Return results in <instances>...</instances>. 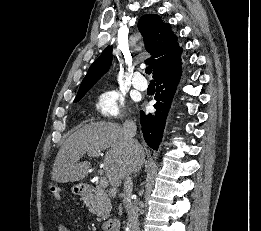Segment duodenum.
I'll return each instance as SVG.
<instances>
[{
    "label": "duodenum",
    "instance_id": "1",
    "mask_svg": "<svg viewBox=\"0 0 261 231\" xmlns=\"http://www.w3.org/2000/svg\"><path fill=\"white\" fill-rule=\"evenodd\" d=\"M92 191L90 186H85L82 189V193L87 194ZM106 231H120V222L117 219H110L105 225Z\"/></svg>",
    "mask_w": 261,
    "mask_h": 231
}]
</instances>
